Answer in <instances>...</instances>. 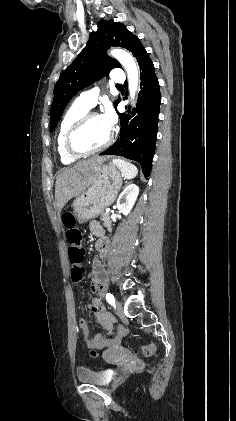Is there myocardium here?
<instances>
[{
	"label": "myocardium",
	"mask_w": 236,
	"mask_h": 421,
	"mask_svg": "<svg viewBox=\"0 0 236 421\" xmlns=\"http://www.w3.org/2000/svg\"><path fill=\"white\" fill-rule=\"evenodd\" d=\"M96 116L101 117L100 114L97 113V112L86 111L81 116H79L68 128V130L66 132V135H65L64 144H65L66 151L71 156H73L75 158L87 157L89 155H92L94 153L102 151L103 149H105L106 147H108L111 144V142L113 140V132L110 130V133H109L107 139L101 145H99L95 148H92V149L87 150V151H82L76 146L75 139H76V135H77L79 129L88 119H90L92 117H96Z\"/></svg>",
	"instance_id": "f54148a6"
}]
</instances>
